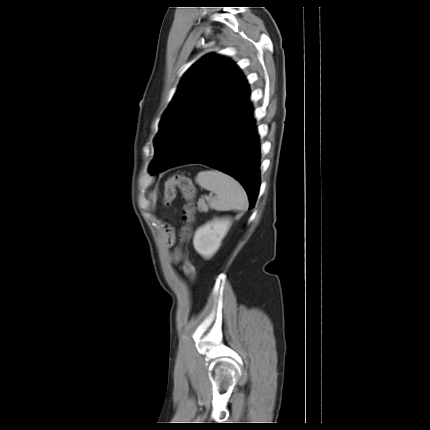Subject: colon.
<instances>
[{
    "mask_svg": "<svg viewBox=\"0 0 430 430\" xmlns=\"http://www.w3.org/2000/svg\"><path fill=\"white\" fill-rule=\"evenodd\" d=\"M180 189L184 205H183V221L185 225L182 228L181 236L184 240L188 239L191 235V225L195 219L196 203L195 195L196 190L191 179L183 174H176L172 176L166 183L164 190V202L166 205L171 204L176 197V189ZM182 269L185 275L191 280L196 279V269L191 259L187 254L183 257Z\"/></svg>",
    "mask_w": 430,
    "mask_h": 430,
    "instance_id": "5ec220e1",
    "label": "colon"
}]
</instances>
